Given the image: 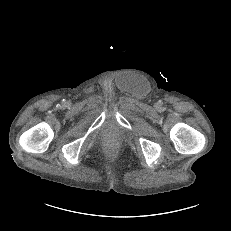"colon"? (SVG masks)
Listing matches in <instances>:
<instances>
[{
	"mask_svg": "<svg viewBox=\"0 0 231 231\" xmlns=\"http://www.w3.org/2000/svg\"><path fill=\"white\" fill-rule=\"evenodd\" d=\"M107 146H109V147L112 146V141L111 140L107 141Z\"/></svg>",
	"mask_w": 231,
	"mask_h": 231,
	"instance_id": "obj_1",
	"label": "colon"
}]
</instances>
